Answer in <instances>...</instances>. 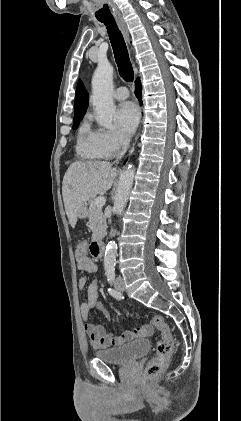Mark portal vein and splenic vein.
<instances>
[{
    "instance_id": "1",
    "label": "portal vein and splenic vein",
    "mask_w": 241,
    "mask_h": 421,
    "mask_svg": "<svg viewBox=\"0 0 241 421\" xmlns=\"http://www.w3.org/2000/svg\"><path fill=\"white\" fill-rule=\"evenodd\" d=\"M105 203H106V199L104 197H98L95 199V202H94V204L100 208H102L105 205Z\"/></svg>"
}]
</instances>
